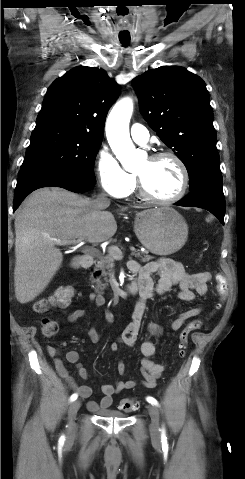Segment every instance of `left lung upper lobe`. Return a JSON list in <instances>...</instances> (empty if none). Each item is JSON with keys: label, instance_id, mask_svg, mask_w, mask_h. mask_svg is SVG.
<instances>
[{"label": "left lung upper lobe", "instance_id": "1", "mask_svg": "<svg viewBox=\"0 0 245 479\" xmlns=\"http://www.w3.org/2000/svg\"><path fill=\"white\" fill-rule=\"evenodd\" d=\"M151 128L187 168L192 189L220 173L213 110L204 81L180 66H162L133 80Z\"/></svg>", "mask_w": 245, "mask_h": 479}]
</instances>
